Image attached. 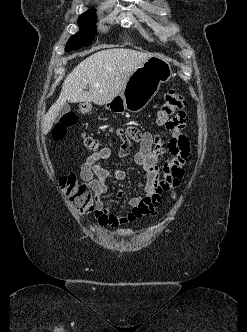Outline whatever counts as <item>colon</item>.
Here are the masks:
<instances>
[{
  "mask_svg": "<svg viewBox=\"0 0 247 332\" xmlns=\"http://www.w3.org/2000/svg\"><path fill=\"white\" fill-rule=\"evenodd\" d=\"M185 98L176 90H168L164 94L163 103L157 112V121L160 125H164L169 130H176L184 123ZM90 111V107L83 104L80 112L86 114ZM77 115L68 113L62 116L60 121L53 128V138L62 140L65 138L68 130L77 124ZM84 144L87 149L95 151L100 149L99 142L91 137H85ZM60 185L69 200L81 211L88 213L93 211L92 198L86 184L77 180L75 175L70 174L60 181Z\"/></svg>",
  "mask_w": 247,
  "mask_h": 332,
  "instance_id": "colon-1",
  "label": "colon"
}]
</instances>
